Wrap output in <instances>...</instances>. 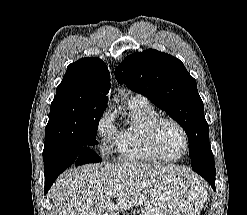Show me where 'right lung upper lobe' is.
Here are the masks:
<instances>
[{
  "mask_svg": "<svg viewBox=\"0 0 247 215\" xmlns=\"http://www.w3.org/2000/svg\"><path fill=\"white\" fill-rule=\"evenodd\" d=\"M71 91L77 97L106 105L110 90V73L99 58H82L67 67L57 92Z\"/></svg>",
  "mask_w": 247,
  "mask_h": 215,
  "instance_id": "1",
  "label": "right lung upper lobe"
}]
</instances>
